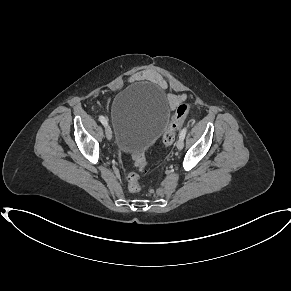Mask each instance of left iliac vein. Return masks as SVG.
Returning a JSON list of instances; mask_svg holds the SVG:
<instances>
[{
    "mask_svg": "<svg viewBox=\"0 0 291 291\" xmlns=\"http://www.w3.org/2000/svg\"><path fill=\"white\" fill-rule=\"evenodd\" d=\"M177 149L181 150L184 147V139L183 138H179L177 141Z\"/></svg>",
    "mask_w": 291,
    "mask_h": 291,
    "instance_id": "4c4485c4",
    "label": "left iliac vein"
}]
</instances>
